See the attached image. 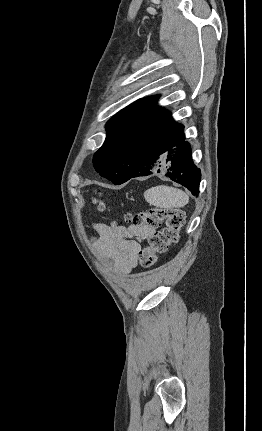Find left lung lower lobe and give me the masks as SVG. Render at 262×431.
Here are the masks:
<instances>
[{
  "label": "left lung lower lobe",
  "instance_id": "0a47b994",
  "mask_svg": "<svg viewBox=\"0 0 262 431\" xmlns=\"http://www.w3.org/2000/svg\"><path fill=\"white\" fill-rule=\"evenodd\" d=\"M184 140L183 126H180L156 140L151 147L137 151L128 180L163 173L197 195L201 172L193 162L189 143Z\"/></svg>",
  "mask_w": 262,
  "mask_h": 431
}]
</instances>
